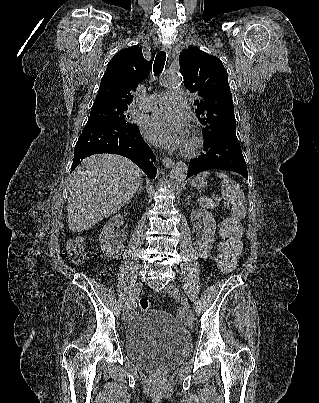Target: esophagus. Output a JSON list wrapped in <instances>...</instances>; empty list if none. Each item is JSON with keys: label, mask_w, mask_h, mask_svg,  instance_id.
Here are the masks:
<instances>
[{"label": "esophagus", "mask_w": 319, "mask_h": 403, "mask_svg": "<svg viewBox=\"0 0 319 403\" xmlns=\"http://www.w3.org/2000/svg\"><path fill=\"white\" fill-rule=\"evenodd\" d=\"M161 50L164 51V52H166L167 54H170V52H171V46L168 45V44H167V45H163V46L161 47ZM162 162H163V165H164L166 168H171V167L174 165V161H173L172 159L168 158V157H164L163 160H162Z\"/></svg>", "instance_id": "34e87169"}]
</instances>
